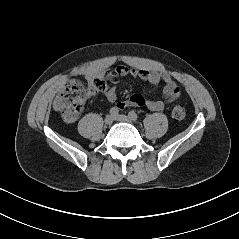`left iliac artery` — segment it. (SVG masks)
Segmentation results:
<instances>
[{"mask_svg": "<svg viewBox=\"0 0 239 239\" xmlns=\"http://www.w3.org/2000/svg\"><path fill=\"white\" fill-rule=\"evenodd\" d=\"M128 116L134 121L138 120V115L134 111L129 112Z\"/></svg>", "mask_w": 239, "mask_h": 239, "instance_id": "1", "label": "left iliac artery"}]
</instances>
